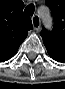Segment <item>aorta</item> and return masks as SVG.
Segmentation results:
<instances>
[{"mask_svg": "<svg viewBox=\"0 0 65 89\" xmlns=\"http://www.w3.org/2000/svg\"><path fill=\"white\" fill-rule=\"evenodd\" d=\"M41 18L47 26L51 25L52 17H51L50 11L48 9H45V11L41 14Z\"/></svg>", "mask_w": 65, "mask_h": 89, "instance_id": "1", "label": "aorta"}]
</instances>
